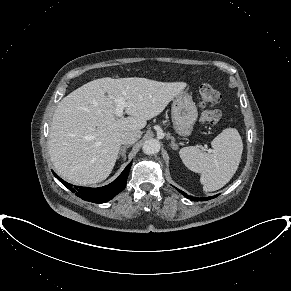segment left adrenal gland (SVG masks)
Instances as JSON below:
<instances>
[{
  "label": "left adrenal gland",
  "mask_w": 291,
  "mask_h": 291,
  "mask_svg": "<svg viewBox=\"0 0 291 291\" xmlns=\"http://www.w3.org/2000/svg\"><path fill=\"white\" fill-rule=\"evenodd\" d=\"M167 139H170L171 140V147L175 150L178 149V145L177 143L175 142V138L173 136H171L169 133L167 134Z\"/></svg>",
  "instance_id": "obj_1"
}]
</instances>
